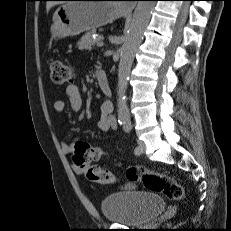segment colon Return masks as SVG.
I'll list each match as a JSON object with an SVG mask.
<instances>
[{
    "mask_svg": "<svg viewBox=\"0 0 231 231\" xmlns=\"http://www.w3.org/2000/svg\"><path fill=\"white\" fill-rule=\"evenodd\" d=\"M73 75V69L69 65L60 60L52 61L51 80L55 85H69ZM105 155L101 148L83 141H77L74 145V163L86 170L87 179L100 184H113L116 182V176L109 170L93 164ZM126 176L131 182L140 180L149 191L162 193L171 200H180L184 196L182 186L163 173L151 171L142 166H132L127 169Z\"/></svg>",
    "mask_w": 231,
    "mask_h": 231,
    "instance_id": "5ec220e1",
    "label": "colon"
}]
</instances>
